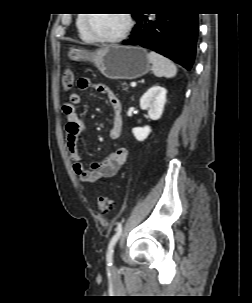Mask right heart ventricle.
<instances>
[{
  "label": "right heart ventricle",
  "mask_w": 252,
  "mask_h": 303,
  "mask_svg": "<svg viewBox=\"0 0 252 303\" xmlns=\"http://www.w3.org/2000/svg\"><path fill=\"white\" fill-rule=\"evenodd\" d=\"M77 26H78V29H79V32H80V35L82 37H87V34L84 30V18H78L77 19Z\"/></svg>",
  "instance_id": "e07e8e85"
}]
</instances>
